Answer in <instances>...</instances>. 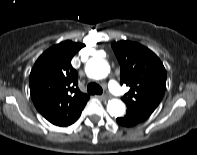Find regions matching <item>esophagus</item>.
<instances>
[{
  "label": "esophagus",
  "mask_w": 197,
  "mask_h": 155,
  "mask_svg": "<svg viewBox=\"0 0 197 155\" xmlns=\"http://www.w3.org/2000/svg\"><path fill=\"white\" fill-rule=\"evenodd\" d=\"M100 98H101L103 101H107V100L110 99V97H109V96H106V95L101 96Z\"/></svg>",
  "instance_id": "1"
}]
</instances>
